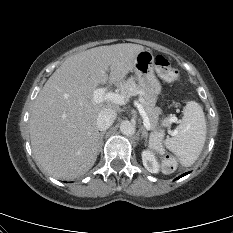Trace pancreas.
<instances>
[{"instance_id":"cf45deb5","label":"pancreas","mask_w":233,"mask_h":233,"mask_svg":"<svg viewBox=\"0 0 233 233\" xmlns=\"http://www.w3.org/2000/svg\"><path fill=\"white\" fill-rule=\"evenodd\" d=\"M121 92L126 97L132 95L139 96L140 104L143 106V109L145 110V113L149 118L151 128L154 131L152 132V135L156 138V142L160 145V141L163 138V132H158L157 130L159 126V115L162 114V110L159 107H155L156 101L146 95L133 78H129L126 82L122 84ZM166 121V119L161 120L162 124Z\"/></svg>"}]
</instances>
